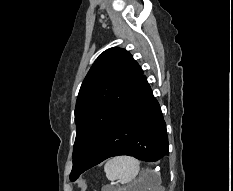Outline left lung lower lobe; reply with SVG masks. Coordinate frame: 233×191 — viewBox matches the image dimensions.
Segmentation results:
<instances>
[{"label":"left lung lower lobe","instance_id":"left-lung-lower-lobe-1","mask_svg":"<svg viewBox=\"0 0 233 191\" xmlns=\"http://www.w3.org/2000/svg\"><path fill=\"white\" fill-rule=\"evenodd\" d=\"M166 124L146 76L137 82L78 174L118 155L152 162L169 155Z\"/></svg>","mask_w":233,"mask_h":191}]
</instances>
